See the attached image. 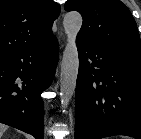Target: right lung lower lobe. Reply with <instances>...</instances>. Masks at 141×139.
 I'll return each instance as SVG.
<instances>
[{
  "label": "right lung lower lobe",
  "instance_id": "1",
  "mask_svg": "<svg viewBox=\"0 0 141 139\" xmlns=\"http://www.w3.org/2000/svg\"><path fill=\"white\" fill-rule=\"evenodd\" d=\"M58 61L55 36L0 56V123L44 138L41 93L54 77Z\"/></svg>",
  "mask_w": 141,
  "mask_h": 139
}]
</instances>
